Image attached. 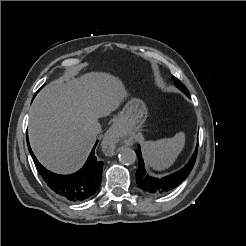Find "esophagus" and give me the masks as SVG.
<instances>
[{"label":"esophagus","instance_id":"34e87169","mask_svg":"<svg viewBox=\"0 0 246 246\" xmlns=\"http://www.w3.org/2000/svg\"><path fill=\"white\" fill-rule=\"evenodd\" d=\"M120 135L119 127L114 124L112 125L109 130L106 132L103 141H102V149L106 155H113L115 154L114 150L118 144Z\"/></svg>","mask_w":246,"mask_h":246}]
</instances>
